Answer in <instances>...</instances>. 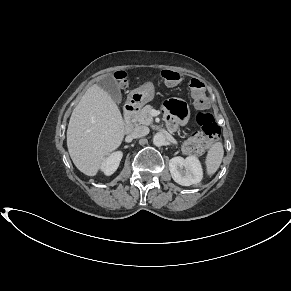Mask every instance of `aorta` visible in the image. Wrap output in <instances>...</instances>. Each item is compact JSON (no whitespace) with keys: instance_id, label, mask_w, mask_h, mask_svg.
I'll list each match as a JSON object with an SVG mask.
<instances>
[{"instance_id":"obj_1","label":"aorta","mask_w":291,"mask_h":291,"mask_svg":"<svg viewBox=\"0 0 291 291\" xmlns=\"http://www.w3.org/2000/svg\"><path fill=\"white\" fill-rule=\"evenodd\" d=\"M166 138L163 133H156L153 137V144L155 146H162L165 144Z\"/></svg>"}]
</instances>
